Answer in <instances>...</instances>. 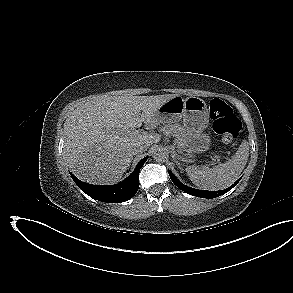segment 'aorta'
Wrapping results in <instances>:
<instances>
[{
    "mask_svg": "<svg viewBox=\"0 0 293 293\" xmlns=\"http://www.w3.org/2000/svg\"><path fill=\"white\" fill-rule=\"evenodd\" d=\"M167 152L164 148H157L153 153V158L156 161H162L166 158Z\"/></svg>",
    "mask_w": 293,
    "mask_h": 293,
    "instance_id": "aorta-1",
    "label": "aorta"
}]
</instances>
